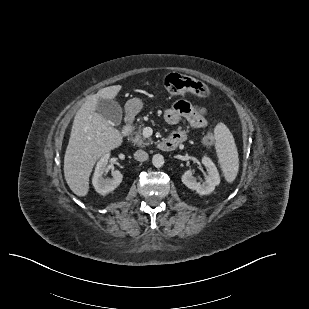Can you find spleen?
I'll return each mask as SVG.
<instances>
[{
	"mask_svg": "<svg viewBox=\"0 0 309 309\" xmlns=\"http://www.w3.org/2000/svg\"><path fill=\"white\" fill-rule=\"evenodd\" d=\"M216 153L227 182L232 183L238 174L239 158L233 135L227 126L218 123L214 129Z\"/></svg>",
	"mask_w": 309,
	"mask_h": 309,
	"instance_id": "obj_1",
	"label": "spleen"
}]
</instances>
